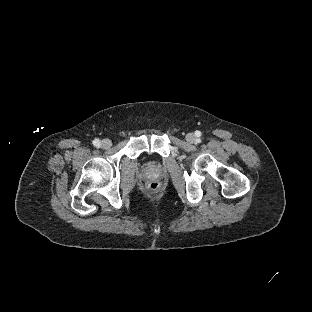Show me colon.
<instances>
[{
    "mask_svg": "<svg viewBox=\"0 0 312 312\" xmlns=\"http://www.w3.org/2000/svg\"><path fill=\"white\" fill-rule=\"evenodd\" d=\"M159 187H160V184L156 180L151 181L149 184V188L153 192H156L159 189Z\"/></svg>",
    "mask_w": 312,
    "mask_h": 312,
    "instance_id": "obj_1",
    "label": "colon"
}]
</instances>
